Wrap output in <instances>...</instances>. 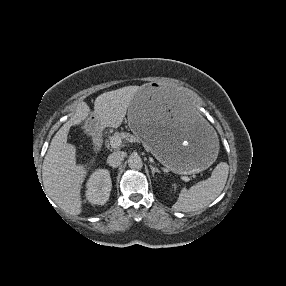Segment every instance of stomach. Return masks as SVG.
<instances>
[{"mask_svg": "<svg viewBox=\"0 0 286 286\" xmlns=\"http://www.w3.org/2000/svg\"><path fill=\"white\" fill-rule=\"evenodd\" d=\"M128 125L146 149L176 174L199 173L217 158L214 128L173 87L159 82L140 86L128 108ZM86 129L94 132L92 116Z\"/></svg>", "mask_w": 286, "mask_h": 286, "instance_id": "obj_1", "label": "stomach"}]
</instances>
